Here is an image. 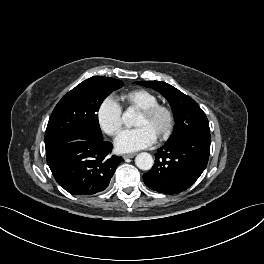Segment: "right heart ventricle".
I'll use <instances>...</instances> for the list:
<instances>
[{
    "label": "right heart ventricle",
    "mask_w": 264,
    "mask_h": 264,
    "mask_svg": "<svg viewBox=\"0 0 264 264\" xmlns=\"http://www.w3.org/2000/svg\"><path fill=\"white\" fill-rule=\"evenodd\" d=\"M119 101L128 108L145 109L159 102L158 97L151 91L138 88L119 95Z\"/></svg>",
    "instance_id": "right-heart-ventricle-1"
}]
</instances>
